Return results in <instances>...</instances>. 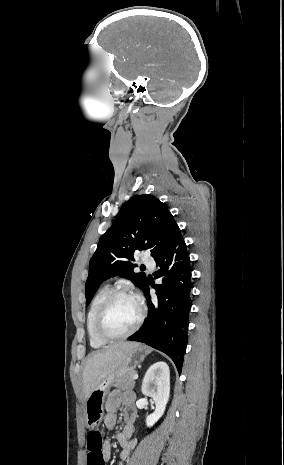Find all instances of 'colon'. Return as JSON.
Listing matches in <instances>:
<instances>
[{
    "label": "colon",
    "instance_id": "colon-1",
    "mask_svg": "<svg viewBox=\"0 0 284 465\" xmlns=\"http://www.w3.org/2000/svg\"><path fill=\"white\" fill-rule=\"evenodd\" d=\"M101 436V431L99 429H94L92 431V437L88 442V465H104L103 454L101 452L103 442L99 437Z\"/></svg>",
    "mask_w": 284,
    "mask_h": 465
}]
</instances>
